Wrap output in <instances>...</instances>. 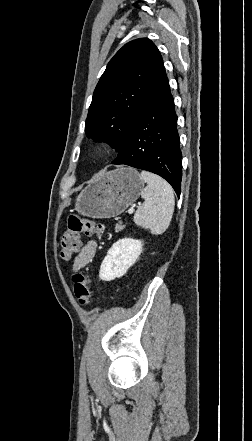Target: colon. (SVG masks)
<instances>
[{"label":"colon","instance_id":"5ec220e1","mask_svg":"<svg viewBox=\"0 0 252 441\" xmlns=\"http://www.w3.org/2000/svg\"><path fill=\"white\" fill-rule=\"evenodd\" d=\"M102 232L103 226L100 223L70 216L67 229L61 238V257L65 260L70 259L79 250L82 235L100 237ZM72 281L76 299L81 305H87L91 297V277L88 274L76 272Z\"/></svg>","mask_w":252,"mask_h":441}]
</instances>
